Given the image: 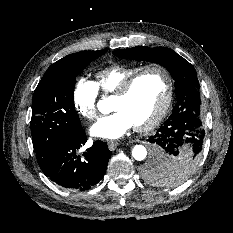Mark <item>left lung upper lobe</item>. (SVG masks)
<instances>
[{"label":"left lung upper lobe","mask_w":233,"mask_h":233,"mask_svg":"<svg viewBox=\"0 0 233 233\" xmlns=\"http://www.w3.org/2000/svg\"><path fill=\"white\" fill-rule=\"evenodd\" d=\"M113 55L119 58L148 61L162 65L175 80L177 103L167 121L181 116L200 120L201 98L199 81L195 68L175 51L165 47H133L116 50ZM200 158L185 156L179 159L167 160L156 166L154 171L144 174L150 181L169 180L172 184L182 183L194 172Z\"/></svg>","instance_id":"1"}]
</instances>
